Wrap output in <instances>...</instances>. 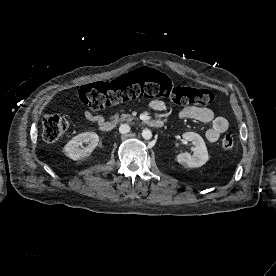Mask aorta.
Returning a JSON list of instances; mask_svg holds the SVG:
<instances>
[{
  "label": "aorta",
  "mask_w": 276,
  "mask_h": 276,
  "mask_svg": "<svg viewBox=\"0 0 276 276\" xmlns=\"http://www.w3.org/2000/svg\"><path fill=\"white\" fill-rule=\"evenodd\" d=\"M142 137L145 139V140H149L152 138V132L149 130V129H144L142 131Z\"/></svg>",
  "instance_id": "aorta-1"
}]
</instances>
